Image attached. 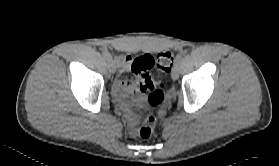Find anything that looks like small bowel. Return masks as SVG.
I'll return each mask as SVG.
<instances>
[{
	"instance_id": "obj_1",
	"label": "small bowel",
	"mask_w": 279,
	"mask_h": 166,
	"mask_svg": "<svg viewBox=\"0 0 279 166\" xmlns=\"http://www.w3.org/2000/svg\"><path fill=\"white\" fill-rule=\"evenodd\" d=\"M115 62L118 66L119 72L118 76L113 82V94L118 98H123L129 94L135 93L138 90L136 84L133 81L127 80L122 76L123 72L131 70L133 58L129 55H116Z\"/></svg>"
}]
</instances>
